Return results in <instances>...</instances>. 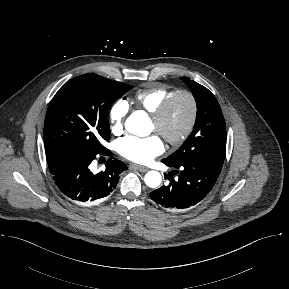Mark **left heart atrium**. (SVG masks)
<instances>
[{
	"label": "left heart atrium",
	"mask_w": 289,
	"mask_h": 289,
	"mask_svg": "<svg viewBox=\"0 0 289 289\" xmlns=\"http://www.w3.org/2000/svg\"><path fill=\"white\" fill-rule=\"evenodd\" d=\"M117 150L127 160L147 164L163 153L164 145L156 134L147 137L129 135L117 141Z\"/></svg>",
	"instance_id": "1"
}]
</instances>
